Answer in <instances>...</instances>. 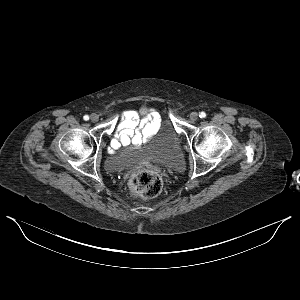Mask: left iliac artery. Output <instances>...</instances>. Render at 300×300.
Wrapping results in <instances>:
<instances>
[{"instance_id": "left-iliac-artery-1", "label": "left iliac artery", "mask_w": 300, "mask_h": 300, "mask_svg": "<svg viewBox=\"0 0 300 300\" xmlns=\"http://www.w3.org/2000/svg\"><path fill=\"white\" fill-rule=\"evenodd\" d=\"M199 117L200 118H205L206 117V113L205 112H200Z\"/></svg>"}]
</instances>
